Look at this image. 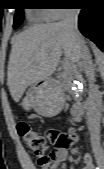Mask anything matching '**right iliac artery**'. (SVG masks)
Masks as SVG:
<instances>
[{
    "label": "right iliac artery",
    "mask_w": 104,
    "mask_h": 169,
    "mask_svg": "<svg viewBox=\"0 0 104 169\" xmlns=\"http://www.w3.org/2000/svg\"><path fill=\"white\" fill-rule=\"evenodd\" d=\"M95 169H100L99 167H95Z\"/></svg>",
    "instance_id": "1"
}]
</instances>
